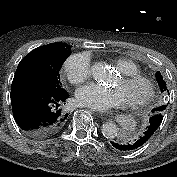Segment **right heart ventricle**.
<instances>
[{"mask_svg":"<svg viewBox=\"0 0 177 177\" xmlns=\"http://www.w3.org/2000/svg\"><path fill=\"white\" fill-rule=\"evenodd\" d=\"M113 64L121 74H138L141 71L137 63L127 58H118Z\"/></svg>","mask_w":177,"mask_h":177,"instance_id":"e07e8e85","label":"right heart ventricle"}]
</instances>
